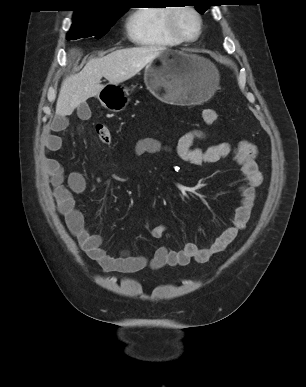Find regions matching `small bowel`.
Segmentation results:
<instances>
[{
    "label": "small bowel",
    "instance_id": "small-bowel-1",
    "mask_svg": "<svg viewBox=\"0 0 306 387\" xmlns=\"http://www.w3.org/2000/svg\"><path fill=\"white\" fill-rule=\"evenodd\" d=\"M67 124V117L59 115L47 128L43 142V170L51 186L57 210L64 218L69 231L87 256L104 271L134 273L147 266L156 270L165 266H185L191 261L206 263L214 255L225 250L239 232L245 229L255 205L256 190L262 182V175L256 162L258 153L256 146L243 140L235 147L222 142L201 149L195 147L194 144L196 141L205 140L207 134L202 129H193L180 136L175 148L163 145L155 138H142L135 145V154L137 156L157 153L173 154L182 162L197 166L231 157L245 178V182L238 189L241 197L240 204L235 210L231 225L210 246L204 248L194 243H187L180 250H169L161 246L150 259L145 256H134L128 252H121L118 255L107 252L102 247V236L89 232L83 214L76 207L74 196L81 194L86 189L84 176L79 172H71L66 175L62 164L50 156L51 153L58 152L62 148V139L55 132L64 130ZM166 229L165 225L155 227L152 232L153 236L162 237Z\"/></svg>",
    "mask_w": 306,
    "mask_h": 387
}]
</instances>
